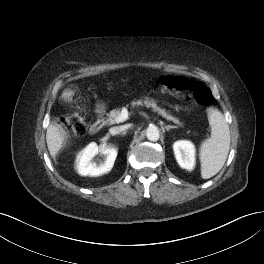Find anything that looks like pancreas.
Masks as SVG:
<instances>
[{"instance_id": "pancreas-1", "label": "pancreas", "mask_w": 264, "mask_h": 264, "mask_svg": "<svg viewBox=\"0 0 264 264\" xmlns=\"http://www.w3.org/2000/svg\"><path fill=\"white\" fill-rule=\"evenodd\" d=\"M132 105L133 106H145L147 108L151 107L154 112H157L159 115H161L165 119L170 120L179 126H183V123H181L179 121V119H177V118L173 117L171 114L167 113V111L165 109H161L160 107H158L157 104L152 100H148V99H146L144 101L138 100V101L132 102ZM120 113H121L120 109H114V110L110 111V113L107 114L108 118L105 121V123L108 125L114 124L117 116Z\"/></svg>"}]
</instances>
